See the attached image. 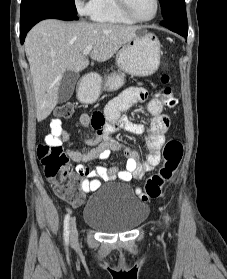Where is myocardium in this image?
Here are the masks:
<instances>
[{"mask_svg":"<svg viewBox=\"0 0 227 279\" xmlns=\"http://www.w3.org/2000/svg\"><path fill=\"white\" fill-rule=\"evenodd\" d=\"M116 3L118 5V7L120 8V10L126 16H128L130 19H132L135 22H149V21L153 20L157 16L158 11H159V0H154V12L148 18H139V17H137L133 13V11L131 10V7L129 5L128 0H116Z\"/></svg>","mask_w":227,"mask_h":279,"instance_id":"f54148a6","label":"myocardium"}]
</instances>
